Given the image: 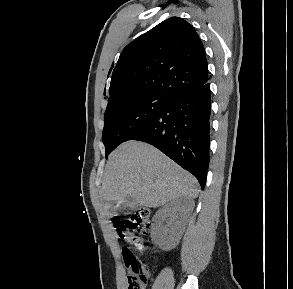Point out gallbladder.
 Returning a JSON list of instances; mask_svg holds the SVG:
<instances>
[{
	"instance_id": "gallbladder-1",
	"label": "gallbladder",
	"mask_w": 293,
	"mask_h": 289,
	"mask_svg": "<svg viewBox=\"0 0 293 289\" xmlns=\"http://www.w3.org/2000/svg\"><path fill=\"white\" fill-rule=\"evenodd\" d=\"M138 204L134 197L131 195H128L124 198L123 202L120 204V206H112L109 209V214L111 216L115 215H128L130 214L133 210L137 208Z\"/></svg>"
}]
</instances>
